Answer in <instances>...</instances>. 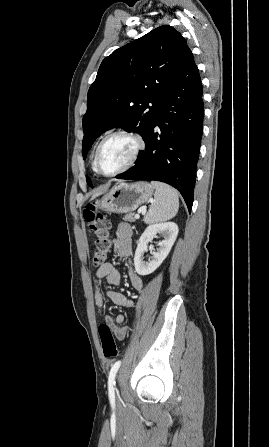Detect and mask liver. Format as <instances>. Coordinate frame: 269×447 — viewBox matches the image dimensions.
Returning <instances> with one entry per match:
<instances>
[{
  "mask_svg": "<svg viewBox=\"0 0 269 447\" xmlns=\"http://www.w3.org/2000/svg\"><path fill=\"white\" fill-rule=\"evenodd\" d=\"M101 192H95V194H93L91 200H93V198H97V196H100Z\"/></svg>",
  "mask_w": 269,
  "mask_h": 447,
  "instance_id": "1",
  "label": "liver"
}]
</instances>
